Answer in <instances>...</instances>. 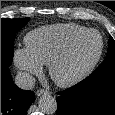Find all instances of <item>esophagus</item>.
<instances>
[{
	"instance_id": "1",
	"label": "esophagus",
	"mask_w": 115,
	"mask_h": 115,
	"mask_svg": "<svg viewBox=\"0 0 115 115\" xmlns=\"http://www.w3.org/2000/svg\"><path fill=\"white\" fill-rule=\"evenodd\" d=\"M49 94V92L47 90H44V89H39L37 90L36 92V95L39 97V96H42V95H47Z\"/></svg>"
}]
</instances>
